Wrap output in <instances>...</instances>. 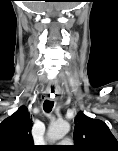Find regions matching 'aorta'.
<instances>
[{
    "label": "aorta",
    "mask_w": 118,
    "mask_h": 151,
    "mask_svg": "<svg viewBox=\"0 0 118 151\" xmlns=\"http://www.w3.org/2000/svg\"><path fill=\"white\" fill-rule=\"evenodd\" d=\"M70 130V124L66 121H56L52 123L47 131V138L51 142L62 139Z\"/></svg>",
    "instance_id": "762f6f07"
}]
</instances>
